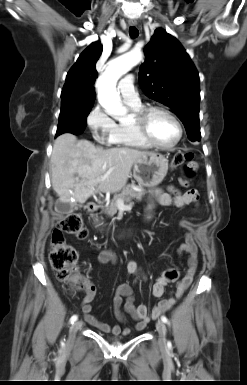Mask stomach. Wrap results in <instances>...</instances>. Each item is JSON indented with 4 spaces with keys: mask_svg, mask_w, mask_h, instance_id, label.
I'll return each instance as SVG.
<instances>
[{
    "mask_svg": "<svg viewBox=\"0 0 247 385\" xmlns=\"http://www.w3.org/2000/svg\"><path fill=\"white\" fill-rule=\"evenodd\" d=\"M168 171V160L159 153L148 152L138 158L133 164V177L142 187H147L149 201L152 202L155 188L159 185Z\"/></svg>",
    "mask_w": 247,
    "mask_h": 385,
    "instance_id": "stomach-1",
    "label": "stomach"
}]
</instances>
